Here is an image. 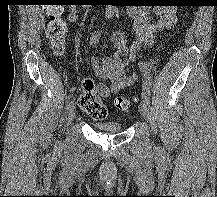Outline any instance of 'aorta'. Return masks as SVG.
<instances>
[{"mask_svg": "<svg viewBox=\"0 0 217 197\" xmlns=\"http://www.w3.org/2000/svg\"><path fill=\"white\" fill-rule=\"evenodd\" d=\"M117 9L115 6L107 5L105 9V15L107 18H111L116 13Z\"/></svg>", "mask_w": 217, "mask_h": 197, "instance_id": "obj_1", "label": "aorta"}]
</instances>
